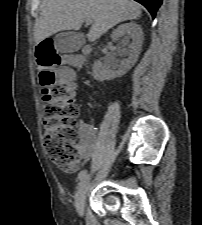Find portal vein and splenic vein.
I'll use <instances>...</instances> for the list:
<instances>
[{
	"label": "portal vein and splenic vein",
	"mask_w": 202,
	"mask_h": 225,
	"mask_svg": "<svg viewBox=\"0 0 202 225\" xmlns=\"http://www.w3.org/2000/svg\"><path fill=\"white\" fill-rule=\"evenodd\" d=\"M86 23L89 25V24H91V21L89 19H87Z\"/></svg>",
	"instance_id": "1"
}]
</instances>
